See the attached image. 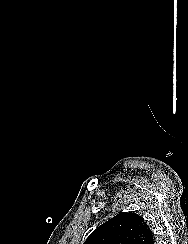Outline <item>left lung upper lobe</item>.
I'll use <instances>...</instances> for the list:
<instances>
[{"instance_id": "1", "label": "left lung upper lobe", "mask_w": 188, "mask_h": 244, "mask_svg": "<svg viewBox=\"0 0 188 244\" xmlns=\"http://www.w3.org/2000/svg\"><path fill=\"white\" fill-rule=\"evenodd\" d=\"M154 236L143 218L119 213L95 229L84 244H153Z\"/></svg>"}]
</instances>
